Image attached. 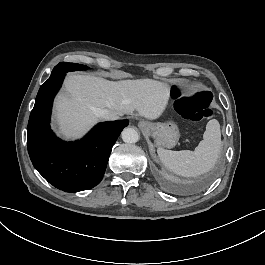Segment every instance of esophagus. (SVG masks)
Segmentation results:
<instances>
[{"mask_svg": "<svg viewBox=\"0 0 265 265\" xmlns=\"http://www.w3.org/2000/svg\"><path fill=\"white\" fill-rule=\"evenodd\" d=\"M150 124L146 121H140L138 127L141 131H146L149 128Z\"/></svg>", "mask_w": 265, "mask_h": 265, "instance_id": "obj_1", "label": "esophagus"}]
</instances>
